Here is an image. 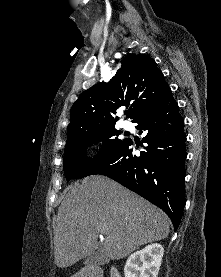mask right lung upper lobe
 <instances>
[{"label":"right lung upper lobe","mask_w":221,"mask_h":277,"mask_svg":"<svg viewBox=\"0 0 221 277\" xmlns=\"http://www.w3.org/2000/svg\"><path fill=\"white\" fill-rule=\"evenodd\" d=\"M121 68L108 82L85 90L73 104L67 139L101 126L115 125L113 114L122 106L130 105L129 118L134 119L149 105L169 90L155 61L145 55L130 54L121 61Z\"/></svg>","instance_id":"1"}]
</instances>
